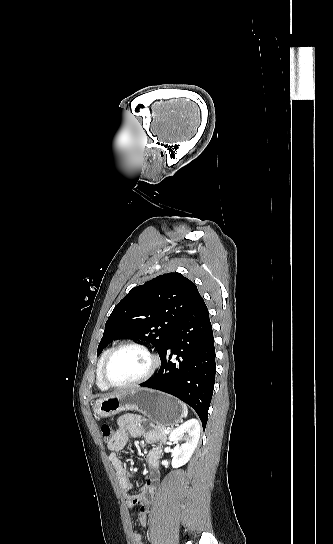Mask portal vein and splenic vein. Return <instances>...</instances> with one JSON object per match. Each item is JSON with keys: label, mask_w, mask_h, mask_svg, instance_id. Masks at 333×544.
Returning <instances> with one entry per match:
<instances>
[{"label": "portal vein and splenic vein", "mask_w": 333, "mask_h": 544, "mask_svg": "<svg viewBox=\"0 0 333 544\" xmlns=\"http://www.w3.org/2000/svg\"><path fill=\"white\" fill-rule=\"evenodd\" d=\"M168 432H169V430H168V429H167V430H165V433H168Z\"/></svg>", "instance_id": "1"}]
</instances>
